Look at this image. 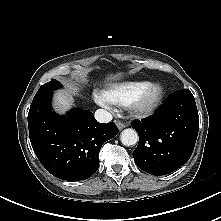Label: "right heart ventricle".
Wrapping results in <instances>:
<instances>
[{
    "instance_id": "obj_1",
    "label": "right heart ventricle",
    "mask_w": 221,
    "mask_h": 221,
    "mask_svg": "<svg viewBox=\"0 0 221 221\" xmlns=\"http://www.w3.org/2000/svg\"><path fill=\"white\" fill-rule=\"evenodd\" d=\"M148 84L146 81L116 83L110 85L102 94L112 104L128 106Z\"/></svg>"
}]
</instances>
